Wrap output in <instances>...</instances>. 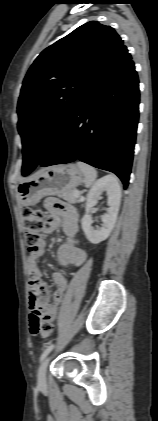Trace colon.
I'll list each match as a JSON object with an SVG mask.
<instances>
[{"mask_svg": "<svg viewBox=\"0 0 158 421\" xmlns=\"http://www.w3.org/2000/svg\"><path fill=\"white\" fill-rule=\"evenodd\" d=\"M23 225L25 229V240L31 253L35 252L43 241V230L46 226L45 213L40 209L24 207L22 211ZM52 331V325L49 322L41 323L36 329L35 334L47 336Z\"/></svg>", "mask_w": 158, "mask_h": 421, "instance_id": "colon-1", "label": "colon"}]
</instances>
